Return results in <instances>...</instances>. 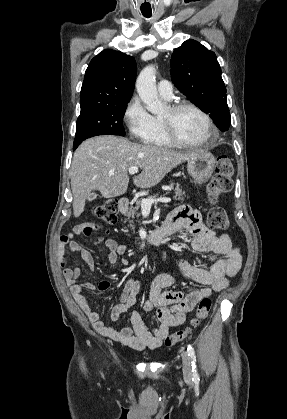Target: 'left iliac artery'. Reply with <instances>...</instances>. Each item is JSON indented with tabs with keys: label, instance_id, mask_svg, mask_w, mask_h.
<instances>
[{
	"label": "left iliac artery",
	"instance_id": "left-iliac-artery-1",
	"mask_svg": "<svg viewBox=\"0 0 287 419\" xmlns=\"http://www.w3.org/2000/svg\"><path fill=\"white\" fill-rule=\"evenodd\" d=\"M187 353L192 360V373H193L192 374L193 375L192 380L198 381L199 380V374H198V371H197L196 356H195V351H194V349L192 348L191 345L188 346Z\"/></svg>",
	"mask_w": 287,
	"mask_h": 419
}]
</instances>
